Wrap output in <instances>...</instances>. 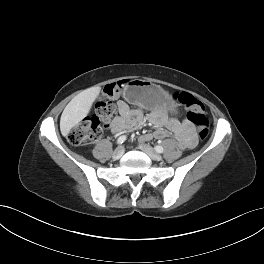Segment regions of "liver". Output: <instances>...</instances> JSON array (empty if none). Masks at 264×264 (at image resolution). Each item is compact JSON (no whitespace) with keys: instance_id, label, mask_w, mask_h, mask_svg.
I'll return each instance as SVG.
<instances>
[{"instance_id":"1","label":"liver","mask_w":264,"mask_h":264,"mask_svg":"<svg viewBox=\"0 0 264 264\" xmlns=\"http://www.w3.org/2000/svg\"><path fill=\"white\" fill-rule=\"evenodd\" d=\"M100 91L99 86L88 88L67 104L60 119V130L63 136L68 135L70 130L87 116Z\"/></svg>"}]
</instances>
